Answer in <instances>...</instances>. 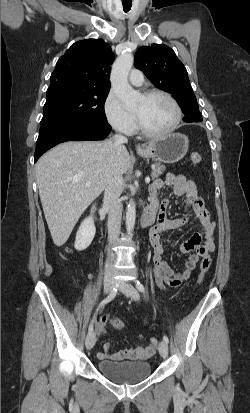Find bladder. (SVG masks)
I'll return each instance as SVG.
<instances>
[{"instance_id": "1", "label": "bladder", "mask_w": 250, "mask_h": 413, "mask_svg": "<svg viewBox=\"0 0 250 413\" xmlns=\"http://www.w3.org/2000/svg\"><path fill=\"white\" fill-rule=\"evenodd\" d=\"M97 367L104 376L119 384L143 381L151 373V365L147 361L101 360Z\"/></svg>"}]
</instances>
